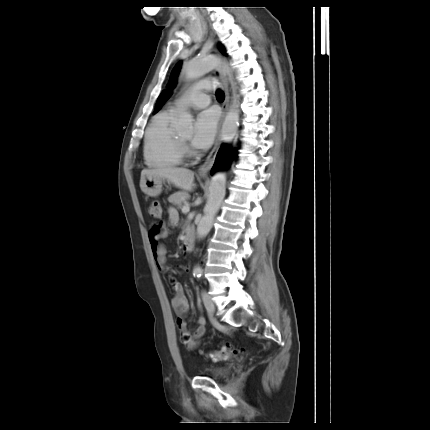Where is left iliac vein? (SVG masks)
Segmentation results:
<instances>
[{
  "instance_id": "4c4485c4",
  "label": "left iliac vein",
  "mask_w": 430,
  "mask_h": 430,
  "mask_svg": "<svg viewBox=\"0 0 430 430\" xmlns=\"http://www.w3.org/2000/svg\"><path fill=\"white\" fill-rule=\"evenodd\" d=\"M202 299L208 314L213 315L215 312V303L207 291H202Z\"/></svg>"
}]
</instances>
